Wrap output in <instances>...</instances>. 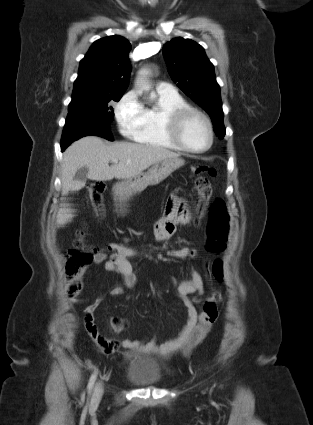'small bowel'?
I'll list each match as a JSON object with an SVG mask.
<instances>
[{"label":"small bowel","instance_id":"small-bowel-1","mask_svg":"<svg viewBox=\"0 0 313 425\" xmlns=\"http://www.w3.org/2000/svg\"><path fill=\"white\" fill-rule=\"evenodd\" d=\"M191 220V214L185 204V201L176 195H172L168 200L165 211L161 219L155 226V236L160 241L169 240L175 232L178 224H186ZM108 249L112 252L108 257L105 253L97 251L94 253V262L100 264L104 262V269L107 272H115L120 275L121 283L115 285L109 291V295H121L125 289L135 287L137 278L134 268L129 261L130 257L137 255L132 248L121 243H110ZM192 250L188 247L174 249L169 255L178 259H186ZM175 284L177 295L183 300L187 311L186 323L180 334L158 344L156 337L147 340H129L119 341L110 340L103 337L95 322L94 313L103 300V296L86 303L82 310L83 327L94 345L104 354H112L117 349L122 348L128 354L133 352H154L161 355H170L176 351H182L183 354H189L195 346L201 343L206 337L208 331L217 319V303L207 297L203 302L202 310L199 312L195 303L199 301L197 297L190 299L189 296H200L204 293L203 278L200 272L191 268L189 279ZM71 304H85V301L78 297L69 299ZM111 328L114 332H121L127 326V320L120 317L111 318Z\"/></svg>","mask_w":313,"mask_h":425}]
</instances>
